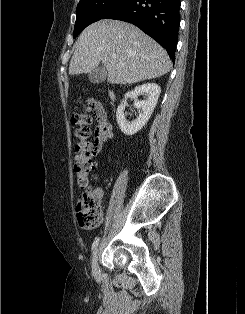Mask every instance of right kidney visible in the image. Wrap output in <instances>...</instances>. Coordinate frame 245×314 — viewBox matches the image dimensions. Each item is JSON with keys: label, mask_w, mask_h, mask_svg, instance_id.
I'll return each mask as SVG.
<instances>
[{"label": "right kidney", "mask_w": 245, "mask_h": 314, "mask_svg": "<svg viewBox=\"0 0 245 314\" xmlns=\"http://www.w3.org/2000/svg\"><path fill=\"white\" fill-rule=\"evenodd\" d=\"M161 89L155 83H147L135 87L131 92L125 94V99L132 98L135 101V106L139 109V115L135 120L129 122L126 120L124 109L125 105L121 103L116 112L117 123L121 131L127 135L132 136L140 131L151 117V114L157 104ZM144 94L145 100L139 101L138 96Z\"/></svg>", "instance_id": "ca27d5eb"}]
</instances>
